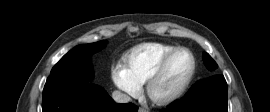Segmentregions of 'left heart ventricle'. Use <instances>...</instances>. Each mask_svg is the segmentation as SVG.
Segmentation results:
<instances>
[{
  "label": "left heart ventricle",
  "mask_w": 270,
  "mask_h": 112,
  "mask_svg": "<svg viewBox=\"0 0 270 112\" xmlns=\"http://www.w3.org/2000/svg\"><path fill=\"white\" fill-rule=\"evenodd\" d=\"M191 64V58L187 52L176 54L156 84L154 95L162 97L178 88L190 72Z\"/></svg>",
  "instance_id": "left-heart-ventricle-1"
}]
</instances>
